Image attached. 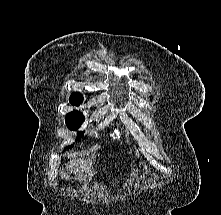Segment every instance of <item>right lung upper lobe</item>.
<instances>
[{"label": "right lung upper lobe", "mask_w": 221, "mask_h": 215, "mask_svg": "<svg viewBox=\"0 0 221 215\" xmlns=\"http://www.w3.org/2000/svg\"><path fill=\"white\" fill-rule=\"evenodd\" d=\"M83 100V97L80 93H72L70 96V102L72 105H79Z\"/></svg>", "instance_id": "1"}]
</instances>
